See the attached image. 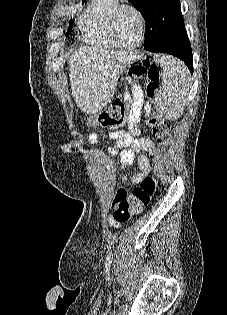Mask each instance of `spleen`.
Masks as SVG:
<instances>
[{
	"instance_id": "1",
	"label": "spleen",
	"mask_w": 227,
	"mask_h": 315,
	"mask_svg": "<svg viewBox=\"0 0 227 315\" xmlns=\"http://www.w3.org/2000/svg\"><path fill=\"white\" fill-rule=\"evenodd\" d=\"M154 60L164 70L162 86L155 96L158 111L169 119L178 118L186 103L189 77L184 65L166 56L155 55Z\"/></svg>"
}]
</instances>
